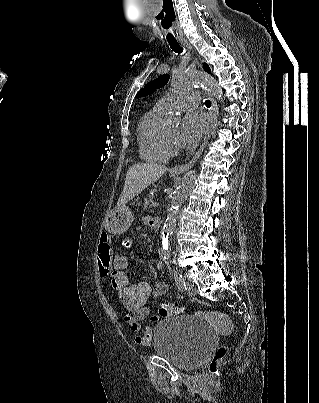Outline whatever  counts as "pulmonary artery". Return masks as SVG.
<instances>
[{"label":"pulmonary artery","instance_id":"1","mask_svg":"<svg viewBox=\"0 0 319 403\" xmlns=\"http://www.w3.org/2000/svg\"><path fill=\"white\" fill-rule=\"evenodd\" d=\"M199 93L194 90H184L161 97L156 105L165 110L191 108L199 104Z\"/></svg>","mask_w":319,"mask_h":403}]
</instances>
